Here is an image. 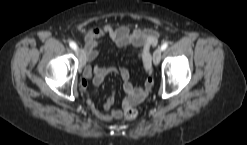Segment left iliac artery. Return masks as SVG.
I'll return each mask as SVG.
<instances>
[{
    "label": "left iliac artery",
    "instance_id": "left-iliac-artery-1",
    "mask_svg": "<svg viewBox=\"0 0 247 145\" xmlns=\"http://www.w3.org/2000/svg\"><path fill=\"white\" fill-rule=\"evenodd\" d=\"M168 45L169 44L167 42L163 43L161 46L162 51H164L168 47Z\"/></svg>",
    "mask_w": 247,
    "mask_h": 145
}]
</instances>
